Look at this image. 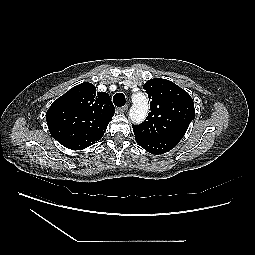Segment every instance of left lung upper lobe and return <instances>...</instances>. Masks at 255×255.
Segmentation results:
<instances>
[{
  "mask_svg": "<svg viewBox=\"0 0 255 255\" xmlns=\"http://www.w3.org/2000/svg\"><path fill=\"white\" fill-rule=\"evenodd\" d=\"M143 88L151 100L150 112L143 123L132 125L135 138L181 140L195 118L191 96L175 83L162 78L147 81Z\"/></svg>",
  "mask_w": 255,
  "mask_h": 255,
  "instance_id": "1",
  "label": "left lung upper lobe"
}]
</instances>
